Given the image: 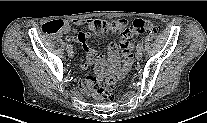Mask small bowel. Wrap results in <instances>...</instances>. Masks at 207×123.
Masks as SVG:
<instances>
[{
	"mask_svg": "<svg viewBox=\"0 0 207 123\" xmlns=\"http://www.w3.org/2000/svg\"><path fill=\"white\" fill-rule=\"evenodd\" d=\"M63 27L61 30V34L65 35L68 40H74L82 44L88 61L81 63V68L86 69L90 62L98 61L102 62L104 60L103 55L98 52L93 46L87 44L86 39L88 37V33L84 30L78 32L75 36L70 35L71 32V25H78L82 26L83 21L81 20H65L62 21ZM123 28V25L120 23V20L111 22V27L109 30L111 31H118ZM132 50L133 47L130 43H127L123 49V61L122 64L119 65V54L117 46L114 43H111L108 47V62L110 67L113 70H116L119 75H124L130 68L132 64ZM84 91L89 92V85L85 84L83 86Z\"/></svg>",
	"mask_w": 207,
	"mask_h": 123,
	"instance_id": "small-bowel-1",
	"label": "small bowel"
}]
</instances>
